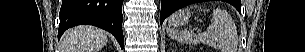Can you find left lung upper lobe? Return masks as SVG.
<instances>
[{
	"label": "left lung upper lobe",
	"instance_id": "left-lung-upper-lobe-1",
	"mask_svg": "<svg viewBox=\"0 0 305 52\" xmlns=\"http://www.w3.org/2000/svg\"><path fill=\"white\" fill-rule=\"evenodd\" d=\"M224 1L230 3V4L234 5V6L237 5L240 2L239 0H224Z\"/></svg>",
	"mask_w": 305,
	"mask_h": 52
}]
</instances>
